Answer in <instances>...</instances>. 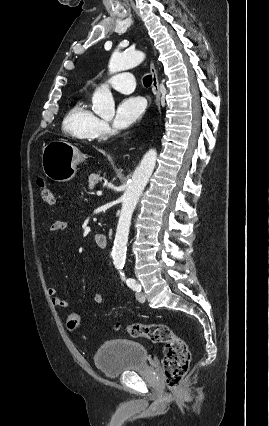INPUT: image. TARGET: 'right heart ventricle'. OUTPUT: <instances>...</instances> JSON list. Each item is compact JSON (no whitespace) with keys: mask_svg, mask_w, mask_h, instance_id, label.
<instances>
[{"mask_svg":"<svg viewBox=\"0 0 269 426\" xmlns=\"http://www.w3.org/2000/svg\"><path fill=\"white\" fill-rule=\"evenodd\" d=\"M98 122V117L89 109L85 100H79L66 114L63 128L72 136L93 141L97 137Z\"/></svg>","mask_w":269,"mask_h":426,"instance_id":"1","label":"right heart ventricle"}]
</instances>
